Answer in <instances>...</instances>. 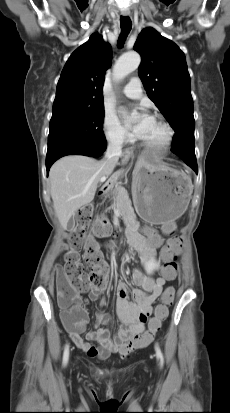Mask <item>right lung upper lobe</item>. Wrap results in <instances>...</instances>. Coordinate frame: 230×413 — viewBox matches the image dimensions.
<instances>
[{
    "label": "right lung upper lobe",
    "mask_w": 230,
    "mask_h": 413,
    "mask_svg": "<svg viewBox=\"0 0 230 413\" xmlns=\"http://www.w3.org/2000/svg\"><path fill=\"white\" fill-rule=\"evenodd\" d=\"M111 55L110 45L98 33L77 48L61 73L53 112L104 108L102 89Z\"/></svg>",
    "instance_id": "cb5924a9"
}]
</instances>
